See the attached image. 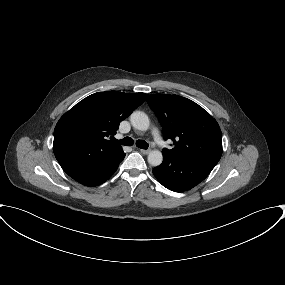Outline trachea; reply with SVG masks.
Returning a JSON list of instances; mask_svg holds the SVG:
<instances>
[{"mask_svg": "<svg viewBox=\"0 0 285 285\" xmlns=\"http://www.w3.org/2000/svg\"><path fill=\"white\" fill-rule=\"evenodd\" d=\"M114 142L121 144V145H124V146H132L134 144V140L131 137H125L121 140L114 139ZM136 146L141 148V149H147L148 143L145 142L144 140H137Z\"/></svg>", "mask_w": 285, "mask_h": 285, "instance_id": "1", "label": "trachea"}]
</instances>
